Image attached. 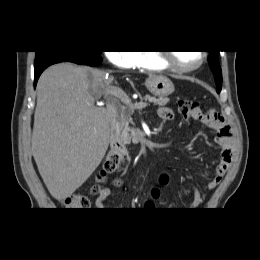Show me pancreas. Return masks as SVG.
<instances>
[{"label": "pancreas", "mask_w": 260, "mask_h": 260, "mask_svg": "<svg viewBox=\"0 0 260 260\" xmlns=\"http://www.w3.org/2000/svg\"><path fill=\"white\" fill-rule=\"evenodd\" d=\"M145 99H148L149 102L158 106H165L169 102V99L167 98H155L151 97L150 95H146ZM132 114L133 109L124 105L119 106L118 112L116 114V122L121 130V139L123 143L127 145H129L131 141L133 144H137L139 142V137L137 136L135 130L129 126L130 124H133V119L131 117Z\"/></svg>", "instance_id": "1"}]
</instances>
